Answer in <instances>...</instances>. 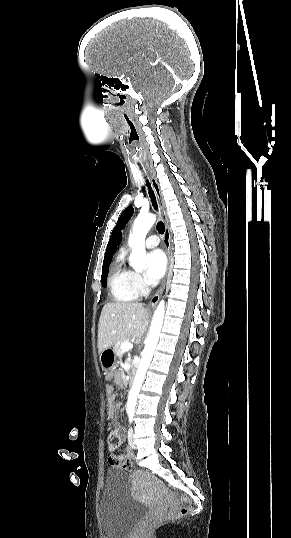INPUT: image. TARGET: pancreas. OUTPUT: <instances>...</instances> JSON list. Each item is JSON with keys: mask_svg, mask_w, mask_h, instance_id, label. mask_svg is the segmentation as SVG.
Wrapping results in <instances>:
<instances>
[{"mask_svg": "<svg viewBox=\"0 0 291 538\" xmlns=\"http://www.w3.org/2000/svg\"><path fill=\"white\" fill-rule=\"evenodd\" d=\"M127 339H122V340H119L114 346H113V349L116 353L117 356H120L121 353H122V350H121V344L126 342ZM128 362L130 363V359L128 358Z\"/></svg>", "mask_w": 291, "mask_h": 538, "instance_id": "obj_1", "label": "pancreas"}]
</instances>
